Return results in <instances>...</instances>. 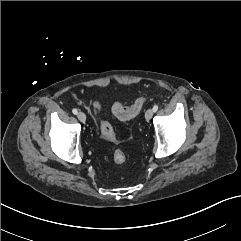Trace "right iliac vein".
I'll list each match as a JSON object with an SVG mask.
<instances>
[{
    "instance_id": "1",
    "label": "right iliac vein",
    "mask_w": 241,
    "mask_h": 241,
    "mask_svg": "<svg viewBox=\"0 0 241 241\" xmlns=\"http://www.w3.org/2000/svg\"><path fill=\"white\" fill-rule=\"evenodd\" d=\"M77 117L81 122H85L86 120V115L83 112H78Z\"/></svg>"
}]
</instances>
